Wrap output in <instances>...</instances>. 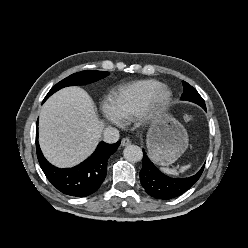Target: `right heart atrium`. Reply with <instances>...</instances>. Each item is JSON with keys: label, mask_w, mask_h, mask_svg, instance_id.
I'll return each mask as SVG.
<instances>
[{"label": "right heart atrium", "mask_w": 248, "mask_h": 248, "mask_svg": "<svg viewBox=\"0 0 248 248\" xmlns=\"http://www.w3.org/2000/svg\"><path fill=\"white\" fill-rule=\"evenodd\" d=\"M101 113L103 115V117L109 121L112 124L115 125H120V121L117 119V117L115 116L113 109H112V105H111V101L110 100H103L101 103Z\"/></svg>", "instance_id": "d8ad5b80"}]
</instances>
